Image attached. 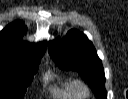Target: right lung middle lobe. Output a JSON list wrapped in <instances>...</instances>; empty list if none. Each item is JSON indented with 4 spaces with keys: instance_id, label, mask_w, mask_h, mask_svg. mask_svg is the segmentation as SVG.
<instances>
[{
    "instance_id": "1",
    "label": "right lung middle lobe",
    "mask_w": 128,
    "mask_h": 99,
    "mask_svg": "<svg viewBox=\"0 0 128 99\" xmlns=\"http://www.w3.org/2000/svg\"><path fill=\"white\" fill-rule=\"evenodd\" d=\"M41 57H0V99H21L24 96Z\"/></svg>"
}]
</instances>
